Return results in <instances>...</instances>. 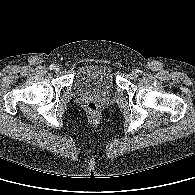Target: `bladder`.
<instances>
[{
  "instance_id": "bladder-1",
  "label": "bladder",
  "mask_w": 195,
  "mask_h": 195,
  "mask_svg": "<svg viewBox=\"0 0 195 195\" xmlns=\"http://www.w3.org/2000/svg\"><path fill=\"white\" fill-rule=\"evenodd\" d=\"M74 85L80 93L107 95L115 88L114 72L107 64H85L78 70Z\"/></svg>"
}]
</instances>
